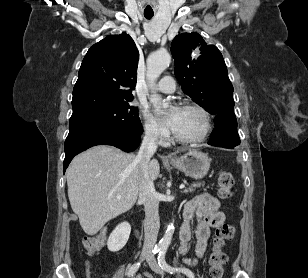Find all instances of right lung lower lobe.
<instances>
[{"label": "right lung lower lobe", "instance_id": "98d812e1", "mask_svg": "<svg viewBox=\"0 0 308 278\" xmlns=\"http://www.w3.org/2000/svg\"><path fill=\"white\" fill-rule=\"evenodd\" d=\"M142 133L127 132L113 129H85L69 132L64 148L65 159L63 171L75 155L95 145H112L123 151H134Z\"/></svg>", "mask_w": 308, "mask_h": 278}]
</instances>
